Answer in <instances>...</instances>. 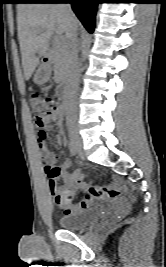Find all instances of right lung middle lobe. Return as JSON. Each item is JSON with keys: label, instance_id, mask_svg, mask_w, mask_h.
I'll return each mask as SVG.
<instances>
[{"label": "right lung middle lobe", "instance_id": "1", "mask_svg": "<svg viewBox=\"0 0 166 267\" xmlns=\"http://www.w3.org/2000/svg\"><path fill=\"white\" fill-rule=\"evenodd\" d=\"M18 1H20V2H30L32 0H18Z\"/></svg>", "mask_w": 166, "mask_h": 267}]
</instances>
